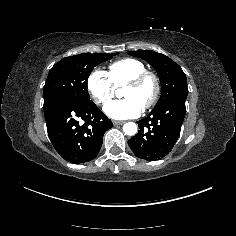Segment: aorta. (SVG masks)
Returning a JSON list of instances; mask_svg holds the SVG:
<instances>
[{
	"mask_svg": "<svg viewBox=\"0 0 236 236\" xmlns=\"http://www.w3.org/2000/svg\"><path fill=\"white\" fill-rule=\"evenodd\" d=\"M123 131L127 135H134L137 132V125L134 122H127L123 125Z\"/></svg>",
	"mask_w": 236,
	"mask_h": 236,
	"instance_id": "aorta-1",
	"label": "aorta"
}]
</instances>
